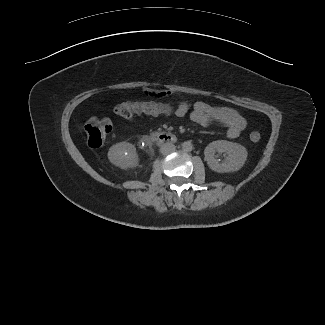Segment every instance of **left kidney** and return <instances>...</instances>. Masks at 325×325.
I'll return each instance as SVG.
<instances>
[{"mask_svg":"<svg viewBox=\"0 0 325 325\" xmlns=\"http://www.w3.org/2000/svg\"><path fill=\"white\" fill-rule=\"evenodd\" d=\"M216 152L224 153L225 159L218 162ZM209 168L218 173H230L240 170L246 162L247 150L239 143L226 140L211 142L204 150Z\"/></svg>","mask_w":325,"mask_h":325,"instance_id":"5707ae66","label":"left kidney"}]
</instances>
